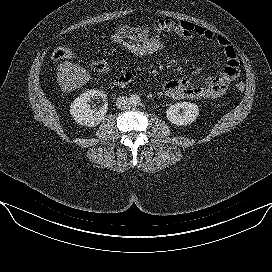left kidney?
<instances>
[{"mask_svg": "<svg viewBox=\"0 0 272 272\" xmlns=\"http://www.w3.org/2000/svg\"><path fill=\"white\" fill-rule=\"evenodd\" d=\"M182 109V113L180 110ZM199 115V108L190 102H180L170 106L166 111L167 119L178 126L191 124Z\"/></svg>", "mask_w": 272, "mask_h": 272, "instance_id": "5707ae66", "label": "left kidney"}]
</instances>
